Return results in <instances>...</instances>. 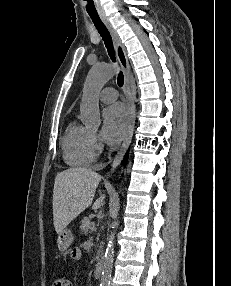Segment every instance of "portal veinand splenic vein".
Here are the masks:
<instances>
[{"label":"portal vein and splenic vein","instance_id":"obj_1","mask_svg":"<svg viewBox=\"0 0 231 286\" xmlns=\"http://www.w3.org/2000/svg\"><path fill=\"white\" fill-rule=\"evenodd\" d=\"M90 229H91L92 231L95 229V223H94V222L91 223Z\"/></svg>","mask_w":231,"mask_h":286}]
</instances>
